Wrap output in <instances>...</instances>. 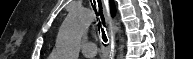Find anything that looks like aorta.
I'll use <instances>...</instances> for the list:
<instances>
[{
	"mask_svg": "<svg viewBox=\"0 0 193 59\" xmlns=\"http://www.w3.org/2000/svg\"><path fill=\"white\" fill-rule=\"evenodd\" d=\"M94 20V13L89 8H76L64 20L57 38V49L66 59H77L79 56V41L83 33ZM122 42L124 40L122 39ZM124 47L119 48V57L124 56Z\"/></svg>",
	"mask_w": 193,
	"mask_h": 59,
	"instance_id": "aorta-1",
	"label": "aorta"
}]
</instances>
